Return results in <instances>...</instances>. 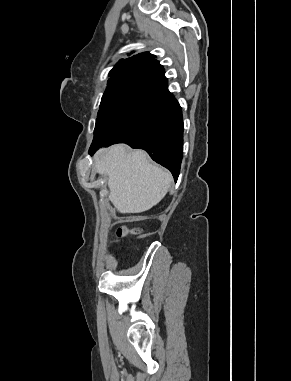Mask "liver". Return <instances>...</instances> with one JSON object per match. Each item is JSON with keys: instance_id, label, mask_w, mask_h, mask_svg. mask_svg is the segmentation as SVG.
I'll use <instances>...</instances> for the list:
<instances>
[{"instance_id": "6515ba94", "label": "liver", "mask_w": 291, "mask_h": 381, "mask_svg": "<svg viewBox=\"0 0 291 381\" xmlns=\"http://www.w3.org/2000/svg\"><path fill=\"white\" fill-rule=\"evenodd\" d=\"M97 173L108 176L109 200L119 213H141L157 205L168 192L172 175L151 163L142 150L115 145L94 157Z\"/></svg>"}]
</instances>
